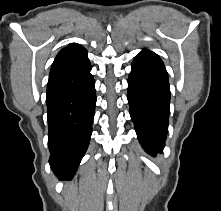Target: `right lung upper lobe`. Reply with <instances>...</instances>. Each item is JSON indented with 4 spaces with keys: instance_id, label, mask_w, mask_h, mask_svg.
Returning <instances> with one entry per match:
<instances>
[{
    "instance_id": "obj_1",
    "label": "right lung upper lobe",
    "mask_w": 221,
    "mask_h": 211,
    "mask_svg": "<svg viewBox=\"0 0 221 211\" xmlns=\"http://www.w3.org/2000/svg\"><path fill=\"white\" fill-rule=\"evenodd\" d=\"M89 63L86 49L77 43H70L57 54L49 78L76 71Z\"/></svg>"
}]
</instances>
